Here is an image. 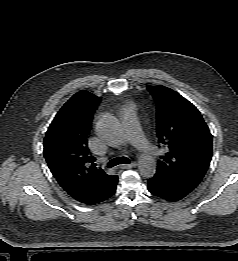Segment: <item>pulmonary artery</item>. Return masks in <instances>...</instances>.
<instances>
[{"instance_id": "pulmonary-artery-1", "label": "pulmonary artery", "mask_w": 238, "mask_h": 261, "mask_svg": "<svg viewBox=\"0 0 238 261\" xmlns=\"http://www.w3.org/2000/svg\"><path fill=\"white\" fill-rule=\"evenodd\" d=\"M122 125L124 128V137L135 146L138 150L144 153L155 154L156 150L145 138L134 107L129 106L123 109L121 113Z\"/></svg>"}]
</instances>
